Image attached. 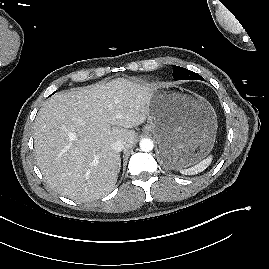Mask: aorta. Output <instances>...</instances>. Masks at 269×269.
Returning <instances> with one entry per match:
<instances>
[{
	"instance_id": "aorta-1",
	"label": "aorta",
	"mask_w": 269,
	"mask_h": 269,
	"mask_svg": "<svg viewBox=\"0 0 269 269\" xmlns=\"http://www.w3.org/2000/svg\"><path fill=\"white\" fill-rule=\"evenodd\" d=\"M140 149L144 152H149L153 149V141L151 139L145 138L140 141Z\"/></svg>"
}]
</instances>
